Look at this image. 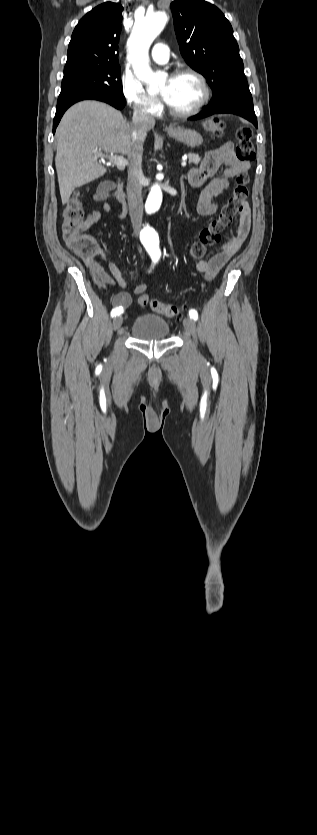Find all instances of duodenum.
I'll return each instance as SVG.
<instances>
[{"label":"duodenum","mask_w":317,"mask_h":835,"mask_svg":"<svg viewBox=\"0 0 317 835\" xmlns=\"http://www.w3.org/2000/svg\"><path fill=\"white\" fill-rule=\"evenodd\" d=\"M106 191L108 192L109 196L115 197L120 202H125L126 197L122 190L121 185H116L112 182L105 183Z\"/></svg>","instance_id":"duodenum-1"}]
</instances>
